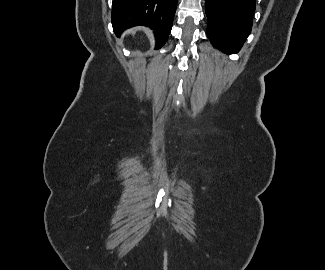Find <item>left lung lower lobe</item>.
<instances>
[{"instance_id":"0a47b994","label":"left lung lower lobe","mask_w":325,"mask_h":270,"mask_svg":"<svg viewBox=\"0 0 325 270\" xmlns=\"http://www.w3.org/2000/svg\"><path fill=\"white\" fill-rule=\"evenodd\" d=\"M254 10L255 0H206L211 43L224 53H237L251 32Z\"/></svg>"}]
</instances>
